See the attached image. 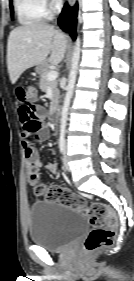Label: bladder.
Here are the masks:
<instances>
[{"label":"bladder","mask_w":134,"mask_h":281,"mask_svg":"<svg viewBox=\"0 0 134 281\" xmlns=\"http://www.w3.org/2000/svg\"><path fill=\"white\" fill-rule=\"evenodd\" d=\"M88 228L77 209L55 202H35L29 209L30 240L49 251H61Z\"/></svg>","instance_id":"bladder-1"}]
</instances>
